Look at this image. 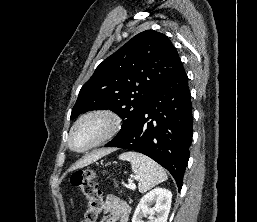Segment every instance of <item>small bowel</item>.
Returning <instances> with one entry per match:
<instances>
[{
  "mask_svg": "<svg viewBox=\"0 0 257 222\" xmlns=\"http://www.w3.org/2000/svg\"><path fill=\"white\" fill-rule=\"evenodd\" d=\"M104 214L107 215L105 222H128L130 207L114 195L105 198Z\"/></svg>",
  "mask_w": 257,
  "mask_h": 222,
  "instance_id": "small-bowel-1",
  "label": "small bowel"
}]
</instances>
